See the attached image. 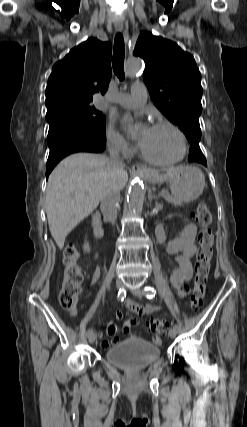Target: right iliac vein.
<instances>
[{
	"instance_id": "obj_1",
	"label": "right iliac vein",
	"mask_w": 247,
	"mask_h": 427,
	"mask_svg": "<svg viewBox=\"0 0 247 427\" xmlns=\"http://www.w3.org/2000/svg\"><path fill=\"white\" fill-rule=\"evenodd\" d=\"M123 286V283H122V281L120 280V279H117L116 280V288L117 289H121V287ZM96 333H94V332H92L89 336H88V341H89V343H94L95 342V340H96Z\"/></svg>"
}]
</instances>
